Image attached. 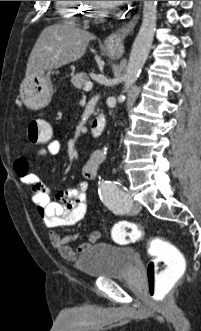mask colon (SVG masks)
Listing matches in <instances>:
<instances>
[{
    "mask_svg": "<svg viewBox=\"0 0 201 331\" xmlns=\"http://www.w3.org/2000/svg\"><path fill=\"white\" fill-rule=\"evenodd\" d=\"M28 139L34 145L50 142L52 128L41 118H31L27 124ZM114 241L128 244L145 237L144 230L132 222H119L112 228ZM152 256L146 267L148 296L159 306H166L178 281L185 272V259L181 252L169 241L161 237L149 240Z\"/></svg>",
    "mask_w": 201,
    "mask_h": 331,
    "instance_id": "1",
    "label": "colon"
}]
</instances>
